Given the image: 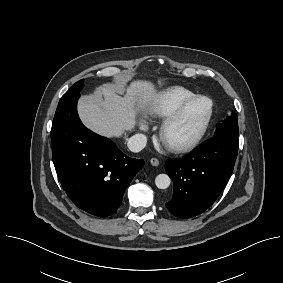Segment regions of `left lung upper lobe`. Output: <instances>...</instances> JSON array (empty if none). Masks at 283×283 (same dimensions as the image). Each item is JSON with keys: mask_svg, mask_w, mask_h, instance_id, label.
<instances>
[{"mask_svg": "<svg viewBox=\"0 0 283 283\" xmlns=\"http://www.w3.org/2000/svg\"><path fill=\"white\" fill-rule=\"evenodd\" d=\"M214 137L224 139L234 145L239 144L238 117L233 113L222 124H218Z\"/></svg>", "mask_w": 283, "mask_h": 283, "instance_id": "left-lung-upper-lobe-1", "label": "left lung upper lobe"}]
</instances>
